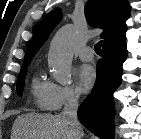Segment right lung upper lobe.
<instances>
[{"mask_svg":"<svg viewBox=\"0 0 141 139\" xmlns=\"http://www.w3.org/2000/svg\"><path fill=\"white\" fill-rule=\"evenodd\" d=\"M85 14L92 26L104 30L101 34V38L104 39L103 46L125 37L127 30L125 21L130 15L127 0H88ZM60 19L61 12L55 9L39 23L27 48L22 67L29 66L32 58Z\"/></svg>","mask_w":141,"mask_h":139,"instance_id":"1","label":"right lung upper lobe"}]
</instances>
